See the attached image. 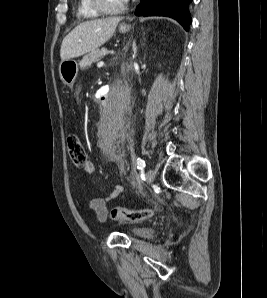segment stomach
I'll return each instance as SVG.
<instances>
[{
  "mask_svg": "<svg viewBox=\"0 0 267 298\" xmlns=\"http://www.w3.org/2000/svg\"><path fill=\"white\" fill-rule=\"evenodd\" d=\"M130 29H131V26L125 25V24H122L119 27V31L121 33H126L130 31ZM77 73H78V63L75 60L69 59V60L62 61L60 63L59 74L64 84L69 86L73 85L76 79Z\"/></svg>",
  "mask_w": 267,
  "mask_h": 298,
  "instance_id": "stomach-1",
  "label": "stomach"
}]
</instances>
